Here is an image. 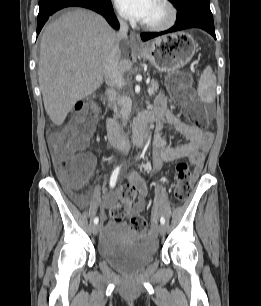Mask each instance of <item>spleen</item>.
<instances>
[{"label": "spleen", "instance_id": "1", "mask_svg": "<svg viewBox=\"0 0 261 306\" xmlns=\"http://www.w3.org/2000/svg\"><path fill=\"white\" fill-rule=\"evenodd\" d=\"M216 77L212 73V68L207 66L198 82V95L206 103H212L215 100Z\"/></svg>", "mask_w": 261, "mask_h": 306}]
</instances>
